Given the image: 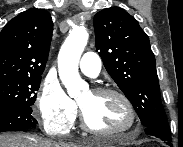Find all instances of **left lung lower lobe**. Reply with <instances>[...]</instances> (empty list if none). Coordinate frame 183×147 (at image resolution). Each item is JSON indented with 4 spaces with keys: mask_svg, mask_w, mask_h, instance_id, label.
<instances>
[{
    "mask_svg": "<svg viewBox=\"0 0 183 147\" xmlns=\"http://www.w3.org/2000/svg\"><path fill=\"white\" fill-rule=\"evenodd\" d=\"M145 132L148 135L158 137L164 141H171L169 128L160 127V126H149V127H145ZM169 145L171 144L169 143Z\"/></svg>",
    "mask_w": 183,
    "mask_h": 147,
    "instance_id": "1",
    "label": "left lung lower lobe"
}]
</instances>
